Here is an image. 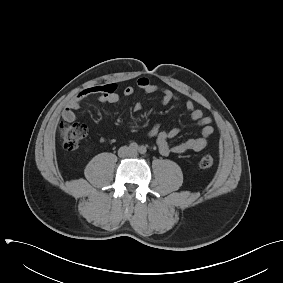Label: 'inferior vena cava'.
I'll list each match as a JSON object with an SVG mask.
<instances>
[{
    "instance_id": "602c4592",
    "label": "inferior vena cava",
    "mask_w": 283,
    "mask_h": 283,
    "mask_svg": "<svg viewBox=\"0 0 283 283\" xmlns=\"http://www.w3.org/2000/svg\"><path fill=\"white\" fill-rule=\"evenodd\" d=\"M134 154H135V152L127 146L120 147V149L118 150V155L120 157L132 156Z\"/></svg>"
}]
</instances>
